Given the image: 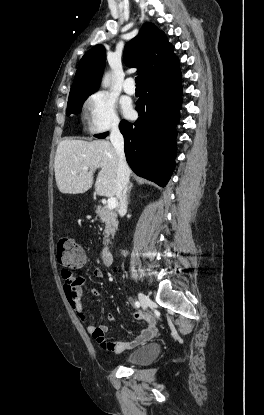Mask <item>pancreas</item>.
<instances>
[{"mask_svg":"<svg viewBox=\"0 0 264 415\" xmlns=\"http://www.w3.org/2000/svg\"><path fill=\"white\" fill-rule=\"evenodd\" d=\"M95 212L100 218V221L104 223L105 230L103 243L107 245L109 243V238L114 236L118 227L117 214L115 211L101 206H98Z\"/></svg>","mask_w":264,"mask_h":415,"instance_id":"cf45deb5","label":"pancreas"}]
</instances>
